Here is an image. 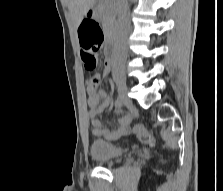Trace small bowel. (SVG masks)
I'll return each instance as SVG.
<instances>
[{
    "instance_id": "small-bowel-1",
    "label": "small bowel",
    "mask_w": 223,
    "mask_h": 191,
    "mask_svg": "<svg viewBox=\"0 0 223 191\" xmlns=\"http://www.w3.org/2000/svg\"><path fill=\"white\" fill-rule=\"evenodd\" d=\"M88 27L96 28L95 25H88ZM98 28V27H97ZM112 64L106 57L104 60V77H107L112 69ZM88 106H89V118L92 128V133L106 140L118 139L130 132L131 117L124 116L118 120V126L114 129H102L101 121L97 118L110 104V96L101 88L92 90L88 88ZM115 112L119 113L120 108L116 106Z\"/></svg>"
}]
</instances>
